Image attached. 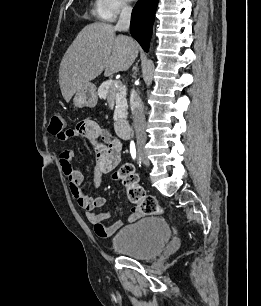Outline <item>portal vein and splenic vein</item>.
I'll return each instance as SVG.
<instances>
[{"instance_id":"1","label":"portal vein and splenic vein","mask_w":261,"mask_h":306,"mask_svg":"<svg viewBox=\"0 0 261 306\" xmlns=\"http://www.w3.org/2000/svg\"><path fill=\"white\" fill-rule=\"evenodd\" d=\"M114 85H115L116 88H118V87H120L122 85V83L120 81H117V82H115Z\"/></svg>"}]
</instances>
